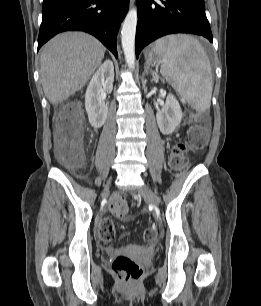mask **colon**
Instances as JSON below:
<instances>
[{
	"instance_id": "obj_1",
	"label": "colon",
	"mask_w": 261,
	"mask_h": 306,
	"mask_svg": "<svg viewBox=\"0 0 261 306\" xmlns=\"http://www.w3.org/2000/svg\"><path fill=\"white\" fill-rule=\"evenodd\" d=\"M56 154L59 161L71 169L80 168L85 159L82 143L83 115L76 105H67L58 113L55 120ZM208 140L205 124L195 126L188 133V141L176 142L171 151L170 165L174 170H183L189 165L190 148H204ZM112 212L121 219L128 217V206L122 197L111 200ZM99 236L102 242L110 244L115 239V228L112 219L105 215L99 225ZM157 228L150 226L143 230L142 238L147 243L158 239ZM111 269L119 280L126 284L135 283L142 274V267L134 259L126 255L116 256Z\"/></svg>"
}]
</instances>
